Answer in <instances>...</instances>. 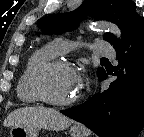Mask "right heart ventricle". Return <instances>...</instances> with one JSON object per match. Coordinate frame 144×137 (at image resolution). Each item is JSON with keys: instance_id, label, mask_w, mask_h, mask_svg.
<instances>
[{"instance_id": "1", "label": "right heart ventricle", "mask_w": 144, "mask_h": 137, "mask_svg": "<svg viewBox=\"0 0 144 137\" xmlns=\"http://www.w3.org/2000/svg\"><path fill=\"white\" fill-rule=\"evenodd\" d=\"M55 55L56 53L54 52L52 45H46L35 50L28 57L16 88L17 97L21 102L25 104H35L40 101L31 89V75L38 65L53 59Z\"/></svg>"}]
</instances>
